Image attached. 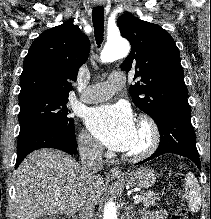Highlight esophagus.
Here are the masks:
<instances>
[{"label": "esophagus", "mask_w": 211, "mask_h": 219, "mask_svg": "<svg viewBox=\"0 0 211 219\" xmlns=\"http://www.w3.org/2000/svg\"><path fill=\"white\" fill-rule=\"evenodd\" d=\"M111 174L116 177L122 176L121 170L118 167H113L111 169Z\"/></svg>", "instance_id": "34e87169"}]
</instances>
